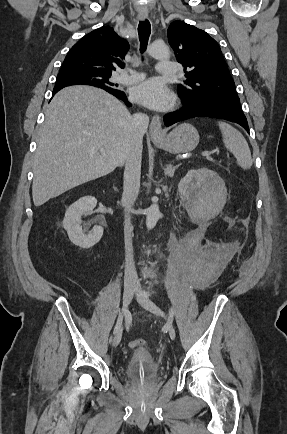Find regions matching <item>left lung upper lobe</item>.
<instances>
[{
  "label": "left lung upper lobe",
  "instance_id": "1",
  "mask_svg": "<svg viewBox=\"0 0 287 434\" xmlns=\"http://www.w3.org/2000/svg\"><path fill=\"white\" fill-rule=\"evenodd\" d=\"M167 36L177 61L189 70L187 79L177 87L182 99L240 101L220 47L209 34L175 21Z\"/></svg>",
  "mask_w": 287,
  "mask_h": 434
}]
</instances>
